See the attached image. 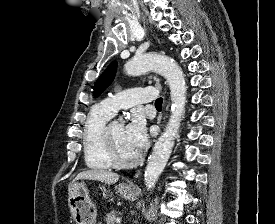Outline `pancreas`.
<instances>
[{"label":"pancreas","mask_w":275,"mask_h":224,"mask_svg":"<svg viewBox=\"0 0 275 224\" xmlns=\"http://www.w3.org/2000/svg\"><path fill=\"white\" fill-rule=\"evenodd\" d=\"M116 214V211L108 213L105 218L106 224H116Z\"/></svg>","instance_id":"obj_1"}]
</instances>
